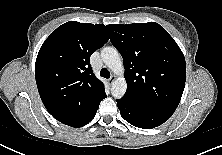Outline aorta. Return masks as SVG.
<instances>
[{
	"label": "aorta",
	"instance_id": "762f6f07",
	"mask_svg": "<svg viewBox=\"0 0 222 155\" xmlns=\"http://www.w3.org/2000/svg\"><path fill=\"white\" fill-rule=\"evenodd\" d=\"M101 58L105 65L118 77L112 82L111 94L120 99L127 90V83L124 78V66L120 54L114 47H104L101 50Z\"/></svg>",
	"mask_w": 222,
	"mask_h": 155
}]
</instances>
